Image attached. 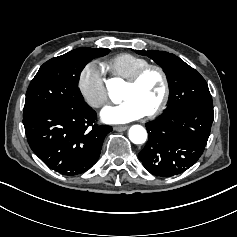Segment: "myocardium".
<instances>
[{
	"instance_id": "obj_1",
	"label": "myocardium",
	"mask_w": 237,
	"mask_h": 237,
	"mask_svg": "<svg viewBox=\"0 0 237 237\" xmlns=\"http://www.w3.org/2000/svg\"><path fill=\"white\" fill-rule=\"evenodd\" d=\"M149 70H156L160 73L162 80H163V84H164V94H163V97H162L161 101L159 102V104L153 110H151L150 112H148L144 115L147 118H151V117H154V116L160 114L168 104V101L170 98V82H169V78H168L166 71L160 65L148 64V65L142 67L141 69H139L137 72H135L131 77L126 79L127 84L135 85L142 79V77Z\"/></svg>"
}]
</instances>
